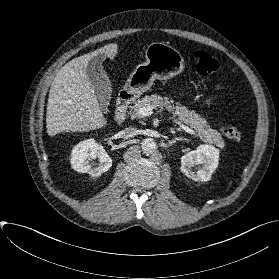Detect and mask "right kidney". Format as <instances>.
Listing matches in <instances>:
<instances>
[{
  "mask_svg": "<svg viewBox=\"0 0 279 279\" xmlns=\"http://www.w3.org/2000/svg\"><path fill=\"white\" fill-rule=\"evenodd\" d=\"M95 159L99 161L96 167H94V163H90ZM71 164L74 170L97 177L110 169L112 159L102 145L97 144L94 139H87L73 148Z\"/></svg>",
  "mask_w": 279,
  "mask_h": 279,
  "instance_id": "right-kidney-1",
  "label": "right kidney"
}]
</instances>
